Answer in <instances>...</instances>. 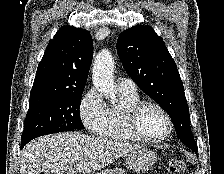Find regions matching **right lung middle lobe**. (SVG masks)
<instances>
[{
    "instance_id": "obj_1",
    "label": "right lung middle lobe",
    "mask_w": 224,
    "mask_h": 174,
    "mask_svg": "<svg viewBox=\"0 0 224 174\" xmlns=\"http://www.w3.org/2000/svg\"><path fill=\"white\" fill-rule=\"evenodd\" d=\"M83 92L30 96L21 142L52 133L83 129L80 104Z\"/></svg>"
}]
</instances>
